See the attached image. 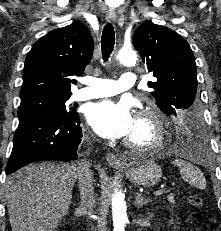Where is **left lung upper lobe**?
Masks as SVG:
<instances>
[{"label":"left lung upper lobe","instance_id":"obj_1","mask_svg":"<svg viewBox=\"0 0 221 231\" xmlns=\"http://www.w3.org/2000/svg\"><path fill=\"white\" fill-rule=\"evenodd\" d=\"M133 45L148 72L157 106L167 115H191L198 109L197 72L193 52L175 31L145 22L133 35Z\"/></svg>","mask_w":221,"mask_h":231}]
</instances>
